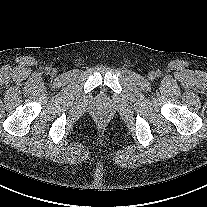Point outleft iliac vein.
Masks as SVG:
<instances>
[{
	"label": "left iliac vein",
	"mask_w": 207,
	"mask_h": 207,
	"mask_svg": "<svg viewBox=\"0 0 207 207\" xmlns=\"http://www.w3.org/2000/svg\"><path fill=\"white\" fill-rule=\"evenodd\" d=\"M155 76H156V74L154 72H149V74H148V78L150 80H153L155 78Z\"/></svg>",
	"instance_id": "obj_1"
}]
</instances>
